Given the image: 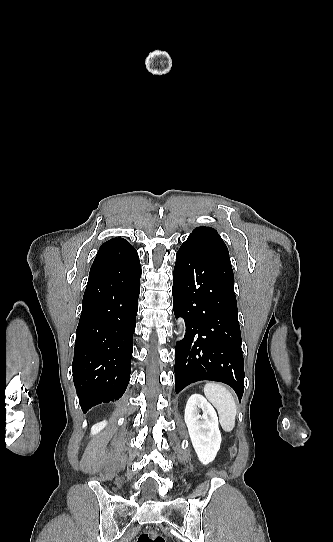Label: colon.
<instances>
[{
  "mask_svg": "<svg viewBox=\"0 0 333 542\" xmlns=\"http://www.w3.org/2000/svg\"><path fill=\"white\" fill-rule=\"evenodd\" d=\"M236 452L237 451L235 448L230 449L231 455L234 456ZM136 541L137 542H166L165 538L154 530H147V531L141 532Z\"/></svg>",
  "mask_w": 333,
  "mask_h": 542,
  "instance_id": "5ec220e1",
  "label": "colon"
}]
</instances>
